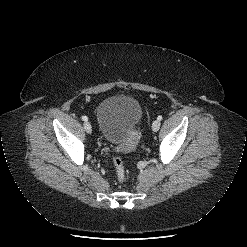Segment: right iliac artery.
Wrapping results in <instances>:
<instances>
[{
  "label": "right iliac artery",
  "instance_id": "obj_1",
  "mask_svg": "<svg viewBox=\"0 0 247 247\" xmlns=\"http://www.w3.org/2000/svg\"><path fill=\"white\" fill-rule=\"evenodd\" d=\"M82 120H83V121H87L88 118H87L86 116H82Z\"/></svg>",
  "mask_w": 247,
  "mask_h": 247
}]
</instances>
